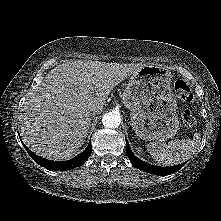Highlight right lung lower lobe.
Instances as JSON below:
<instances>
[{"label": "right lung lower lobe", "instance_id": "1", "mask_svg": "<svg viewBox=\"0 0 221 221\" xmlns=\"http://www.w3.org/2000/svg\"><path fill=\"white\" fill-rule=\"evenodd\" d=\"M23 146L26 148L27 153L30 155V157L34 161H36L42 167L49 169V170H69V169L81 166L89 158L91 151H92L91 142H89L87 148L81 154L77 155L76 157L68 161L57 162V161L47 160L45 158L37 156L31 150H29L24 144Z\"/></svg>", "mask_w": 221, "mask_h": 221}]
</instances>
